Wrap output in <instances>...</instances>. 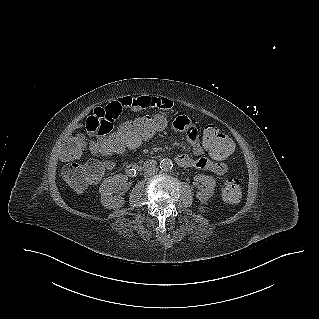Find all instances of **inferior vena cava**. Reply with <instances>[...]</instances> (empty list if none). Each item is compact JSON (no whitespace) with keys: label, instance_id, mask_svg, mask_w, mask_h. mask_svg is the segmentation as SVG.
<instances>
[{"label":"inferior vena cava","instance_id":"obj_1","mask_svg":"<svg viewBox=\"0 0 319 319\" xmlns=\"http://www.w3.org/2000/svg\"><path fill=\"white\" fill-rule=\"evenodd\" d=\"M158 172V168L153 167V168H149L145 171L144 176L145 177H150L155 175Z\"/></svg>","mask_w":319,"mask_h":319}]
</instances>
